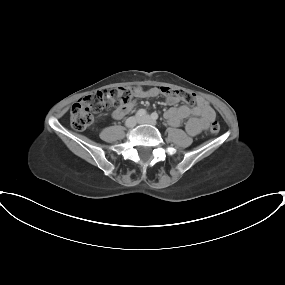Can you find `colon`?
<instances>
[{"instance_id":"colon-1","label":"colon","mask_w":285,"mask_h":285,"mask_svg":"<svg viewBox=\"0 0 285 285\" xmlns=\"http://www.w3.org/2000/svg\"><path fill=\"white\" fill-rule=\"evenodd\" d=\"M159 89L165 95L180 97L181 100L189 105L197 103L196 95L190 91L174 89L168 86H162ZM132 96L133 89L128 86L92 92L72 106L70 110L71 126L77 131L86 130L93 123L96 114L102 113L110 107L122 106L128 103ZM210 131L213 134L219 133L220 124L218 121L213 120L211 122Z\"/></svg>"}]
</instances>
